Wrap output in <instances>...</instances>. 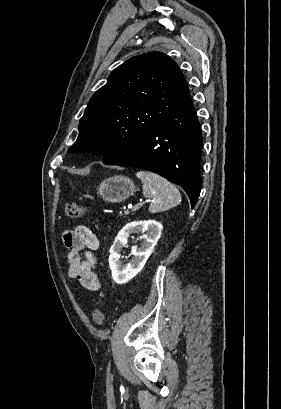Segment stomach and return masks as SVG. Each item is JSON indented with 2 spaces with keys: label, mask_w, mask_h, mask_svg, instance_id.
I'll use <instances>...</instances> for the list:
<instances>
[{
  "label": "stomach",
  "mask_w": 281,
  "mask_h": 409,
  "mask_svg": "<svg viewBox=\"0 0 281 409\" xmlns=\"http://www.w3.org/2000/svg\"><path fill=\"white\" fill-rule=\"evenodd\" d=\"M97 190L104 200H108V202H121V200H126L128 196L134 194L136 184L128 176L117 174V176H109V178L102 180Z\"/></svg>",
  "instance_id": "stomach-1"
}]
</instances>
